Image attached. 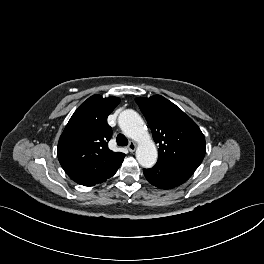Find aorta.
Here are the masks:
<instances>
[{
    "instance_id": "1",
    "label": "aorta",
    "mask_w": 264,
    "mask_h": 264,
    "mask_svg": "<svg viewBox=\"0 0 264 264\" xmlns=\"http://www.w3.org/2000/svg\"><path fill=\"white\" fill-rule=\"evenodd\" d=\"M118 124L126 136L138 143V163L144 168H151L157 161V149L140 115L131 109L124 110L118 117Z\"/></svg>"
}]
</instances>
